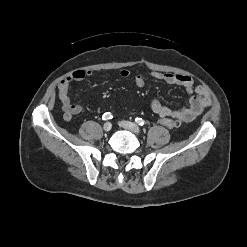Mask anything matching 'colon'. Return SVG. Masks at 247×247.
Listing matches in <instances>:
<instances>
[{"mask_svg": "<svg viewBox=\"0 0 247 247\" xmlns=\"http://www.w3.org/2000/svg\"><path fill=\"white\" fill-rule=\"evenodd\" d=\"M158 123L166 128L172 129L178 125V122L176 120H173L171 118H160L158 120Z\"/></svg>", "mask_w": 247, "mask_h": 247, "instance_id": "colon-1", "label": "colon"}]
</instances>
